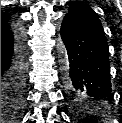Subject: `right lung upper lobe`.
Returning <instances> with one entry per match:
<instances>
[{
  "label": "right lung upper lobe",
  "mask_w": 122,
  "mask_h": 123,
  "mask_svg": "<svg viewBox=\"0 0 122 123\" xmlns=\"http://www.w3.org/2000/svg\"><path fill=\"white\" fill-rule=\"evenodd\" d=\"M5 20H10V17L8 15H2L1 21H5Z\"/></svg>",
  "instance_id": "cb5924a9"
}]
</instances>
